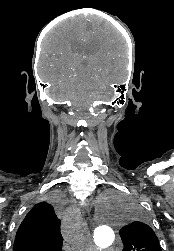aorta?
Here are the masks:
<instances>
[{
	"label": "aorta",
	"mask_w": 174,
	"mask_h": 251,
	"mask_svg": "<svg viewBox=\"0 0 174 251\" xmlns=\"http://www.w3.org/2000/svg\"><path fill=\"white\" fill-rule=\"evenodd\" d=\"M113 209L108 201L101 205L100 213L95 222L94 242L101 248H108L114 241V223Z\"/></svg>",
	"instance_id": "aorta-1"
}]
</instances>
